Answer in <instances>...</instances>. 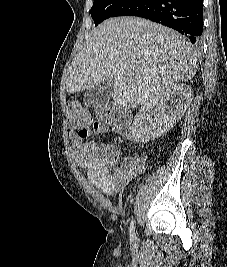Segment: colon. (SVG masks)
<instances>
[{
	"label": "colon",
	"instance_id": "1",
	"mask_svg": "<svg viewBox=\"0 0 227 267\" xmlns=\"http://www.w3.org/2000/svg\"><path fill=\"white\" fill-rule=\"evenodd\" d=\"M96 113L107 124L115 122V106L107 104L97 109ZM68 120L72 127L81 128L89 124V111L78 102H71L67 109Z\"/></svg>",
	"mask_w": 227,
	"mask_h": 267
}]
</instances>
